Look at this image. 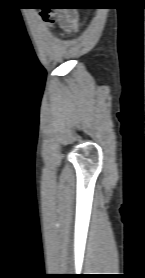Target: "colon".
<instances>
[{
    "mask_svg": "<svg viewBox=\"0 0 145 278\" xmlns=\"http://www.w3.org/2000/svg\"><path fill=\"white\" fill-rule=\"evenodd\" d=\"M65 3L58 4V5H52L50 8L51 10H46L41 12V16L43 20L49 24H52L54 22V16L52 12H61V11H68L73 9H80L85 8L84 5L75 3L76 0H65Z\"/></svg>",
    "mask_w": 145,
    "mask_h": 278,
    "instance_id": "obj_1",
    "label": "colon"
}]
</instances>
